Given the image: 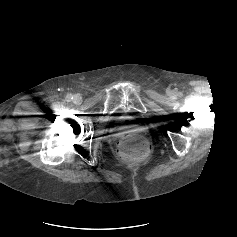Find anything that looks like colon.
<instances>
[{
    "label": "colon",
    "mask_w": 237,
    "mask_h": 237,
    "mask_svg": "<svg viewBox=\"0 0 237 237\" xmlns=\"http://www.w3.org/2000/svg\"><path fill=\"white\" fill-rule=\"evenodd\" d=\"M118 153L127 160H140L149 155L150 145L140 133L128 132L118 144Z\"/></svg>",
    "instance_id": "1"
}]
</instances>
